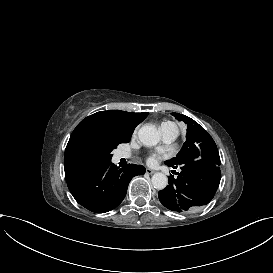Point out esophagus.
<instances>
[{"mask_svg": "<svg viewBox=\"0 0 273 273\" xmlns=\"http://www.w3.org/2000/svg\"><path fill=\"white\" fill-rule=\"evenodd\" d=\"M155 171L154 170H152V169H150V168H147L146 169V173L147 174H153Z\"/></svg>", "mask_w": 273, "mask_h": 273, "instance_id": "obj_1", "label": "esophagus"}]
</instances>
